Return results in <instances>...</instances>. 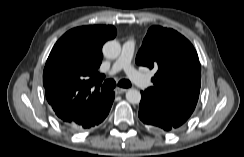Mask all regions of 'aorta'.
Wrapping results in <instances>:
<instances>
[{
  "label": "aorta",
  "instance_id": "obj_1",
  "mask_svg": "<svg viewBox=\"0 0 244 157\" xmlns=\"http://www.w3.org/2000/svg\"><path fill=\"white\" fill-rule=\"evenodd\" d=\"M121 53V45L116 40L107 41L103 46V54L108 59H115ZM126 99L132 104H138L141 100V93L136 89H129L126 92Z\"/></svg>",
  "mask_w": 244,
  "mask_h": 157
}]
</instances>
